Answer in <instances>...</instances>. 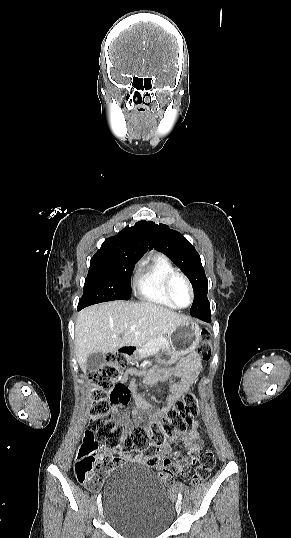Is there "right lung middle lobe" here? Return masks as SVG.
<instances>
[{"instance_id": "obj_1", "label": "right lung middle lobe", "mask_w": 291, "mask_h": 538, "mask_svg": "<svg viewBox=\"0 0 291 538\" xmlns=\"http://www.w3.org/2000/svg\"><path fill=\"white\" fill-rule=\"evenodd\" d=\"M138 260L127 256L94 255L77 309L106 301L129 300L132 269Z\"/></svg>"}]
</instances>
